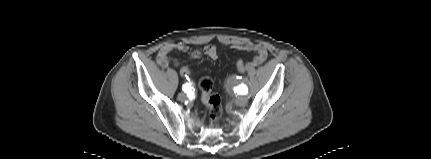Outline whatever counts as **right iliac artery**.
Returning <instances> with one entry per match:
<instances>
[{"instance_id": "82829eb1", "label": "right iliac artery", "mask_w": 431, "mask_h": 159, "mask_svg": "<svg viewBox=\"0 0 431 159\" xmlns=\"http://www.w3.org/2000/svg\"><path fill=\"white\" fill-rule=\"evenodd\" d=\"M191 89H192V87H191V85L190 84H188V83H186V84H184L183 86H182V90L184 91V92H190L191 91Z\"/></svg>"}]
</instances>
